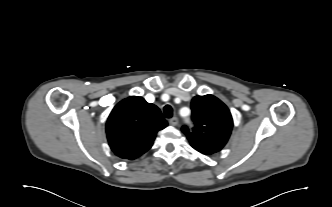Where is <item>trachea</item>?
<instances>
[{
    "label": "trachea",
    "instance_id": "1",
    "mask_svg": "<svg viewBox=\"0 0 332 207\" xmlns=\"http://www.w3.org/2000/svg\"><path fill=\"white\" fill-rule=\"evenodd\" d=\"M164 114L167 118H171L173 115V110L172 107L170 105H166L164 107Z\"/></svg>",
    "mask_w": 332,
    "mask_h": 207
}]
</instances>
